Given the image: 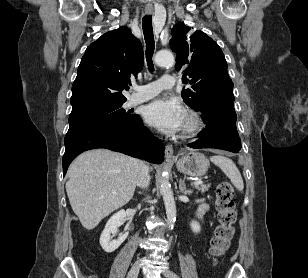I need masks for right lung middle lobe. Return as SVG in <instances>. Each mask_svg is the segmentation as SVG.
Masks as SVG:
<instances>
[{"label":"right lung middle lobe","mask_w":308,"mask_h":278,"mask_svg":"<svg viewBox=\"0 0 308 278\" xmlns=\"http://www.w3.org/2000/svg\"><path fill=\"white\" fill-rule=\"evenodd\" d=\"M137 118L138 115L126 112L123 108V103H121L83 114L69 116L68 122L69 124L86 120H97L103 122H133Z\"/></svg>","instance_id":"1"}]
</instances>
